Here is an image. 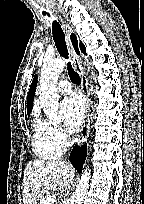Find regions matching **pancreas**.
Segmentation results:
<instances>
[{"mask_svg":"<svg viewBox=\"0 0 144 204\" xmlns=\"http://www.w3.org/2000/svg\"><path fill=\"white\" fill-rule=\"evenodd\" d=\"M46 199H47L46 196H45V197H42V198L40 199V203H39V204H43Z\"/></svg>","mask_w":144,"mask_h":204,"instance_id":"pancreas-1","label":"pancreas"}]
</instances>
